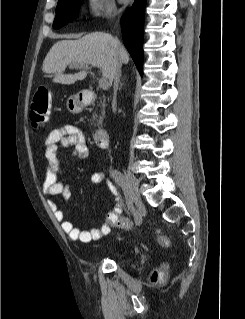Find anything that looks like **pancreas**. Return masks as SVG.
<instances>
[{"label":"pancreas","mask_w":245,"mask_h":319,"mask_svg":"<svg viewBox=\"0 0 245 319\" xmlns=\"http://www.w3.org/2000/svg\"><path fill=\"white\" fill-rule=\"evenodd\" d=\"M100 108H101V111H100V113L98 114V113H96V111L93 113V117H92V119H93V121H97V122H102L103 121V119H104V114H105V103L103 102H101L99 105H98Z\"/></svg>","instance_id":"obj_1"}]
</instances>
